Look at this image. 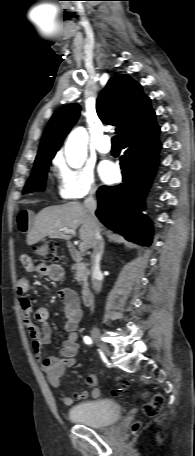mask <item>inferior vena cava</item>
Wrapping results in <instances>:
<instances>
[{"mask_svg":"<svg viewBox=\"0 0 195 456\" xmlns=\"http://www.w3.org/2000/svg\"><path fill=\"white\" fill-rule=\"evenodd\" d=\"M94 194L95 190H92L89 196L85 199L84 206L89 213L90 221L94 229L93 253L91 255L92 288L95 292L99 293L102 288V282L100 280L102 277V273L100 271V261L104 250V241L100 233V224L95 215L97 202L93 196Z\"/></svg>","mask_w":195,"mask_h":456,"instance_id":"inferior-vena-cava-1","label":"inferior vena cava"}]
</instances>
